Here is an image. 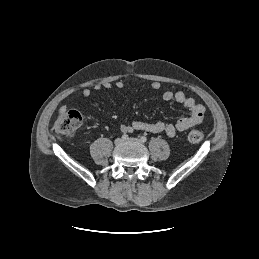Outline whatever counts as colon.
<instances>
[{"mask_svg": "<svg viewBox=\"0 0 259 259\" xmlns=\"http://www.w3.org/2000/svg\"><path fill=\"white\" fill-rule=\"evenodd\" d=\"M81 123V114L76 110H68L59 113L53 123L52 130L59 138L72 137L81 126ZM203 138V132L198 129L191 130L188 134V140L193 144L200 143Z\"/></svg>", "mask_w": 259, "mask_h": 259, "instance_id": "colon-1", "label": "colon"}]
</instances>
